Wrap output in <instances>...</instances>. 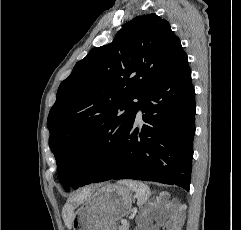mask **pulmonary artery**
<instances>
[{
    "label": "pulmonary artery",
    "instance_id": "1",
    "mask_svg": "<svg viewBox=\"0 0 241 230\" xmlns=\"http://www.w3.org/2000/svg\"><path fill=\"white\" fill-rule=\"evenodd\" d=\"M141 118H142V113H141V111H138V113H137V119H138V120H141Z\"/></svg>",
    "mask_w": 241,
    "mask_h": 230
}]
</instances>
